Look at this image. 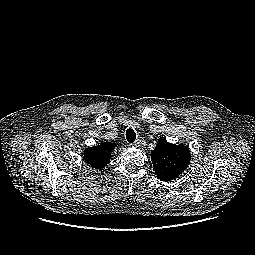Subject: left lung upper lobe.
<instances>
[{"label": "left lung upper lobe", "mask_w": 255, "mask_h": 255, "mask_svg": "<svg viewBox=\"0 0 255 255\" xmlns=\"http://www.w3.org/2000/svg\"><path fill=\"white\" fill-rule=\"evenodd\" d=\"M157 177L162 181L177 178L189 165L190 151L187 146L168 143L158 139L156 148L150 154Z\"/></svg>", "instance_id": "5c2ea615"}]
</instances>
